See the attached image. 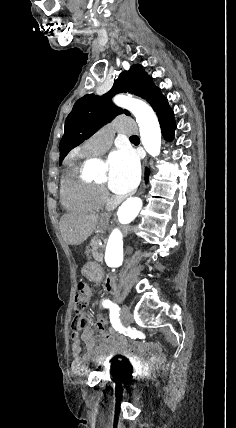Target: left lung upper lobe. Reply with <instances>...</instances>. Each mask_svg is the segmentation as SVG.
I'll list each match as a JSON object with an SVG mask.
<instances>
[{
	"instance_id": "1",
	"label": "left lung upper lobe",
	"mask_w": 236,
	"mask_h": 428,
	"mask_svg": "<svg viewBox=\"0 0 236 428\" xmlns=\"http://www.w3.org/2000/svg\"><path fill=\"white\" fill-rule=\"evenodd\" d=\"M120 92H129L145 99L155 112L167 105V99L156 87L142 66L135 64L122 72L114 81L112 89L102 96L85 95L78 99L65 122V132L59 150L61 163L70 150L91 137L101 126L119 114L130 115L127 110L115 106L111 97Z\"/></svg>"
}]
</instances>
